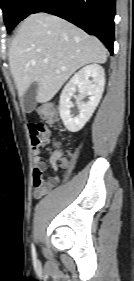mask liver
Returning a JSON list of instances; mask_svg holds the SVG:
<instances>
[{
	"mask_svg": "<svg viewBox=\"0 0 134 281\" xmlns=\"http://www.w3.org/2000/svg\"><path fill=\"white\" fill-rule=\"evenodd\" d=\"M8 58L21 100L29 85L36 82V101L46 103L77 69L105 63L107 50L99 39L72 23L39 12L22 22Z\"/></svg>",
	"mask_w": 134,
	"mask_h": 281,
	"instance_id": "6515ba94",
	"label": "liver"
}]
</instances>
